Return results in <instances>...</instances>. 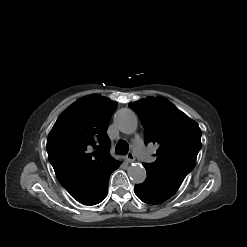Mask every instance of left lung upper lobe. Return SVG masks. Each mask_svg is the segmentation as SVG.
<instances>
[{"label": "left lung upper lobe", "mask_w": 247, "mask_h": 247, "mask_svg": "<svg viewBox=\"0 0 247 247\" xmlns=\"http://www.w3.org/2000/svg\"><path fill=\"white\" fill-rule=\"evenodd\" d=\"M129 106L138 114L145 128V143L159 145L157 160L143 164L177 191L194 168L201 148V130L187 115L168 100L147 97Z\"/></svg>", "instance_id": "5c2ea615"}]
</instances>
